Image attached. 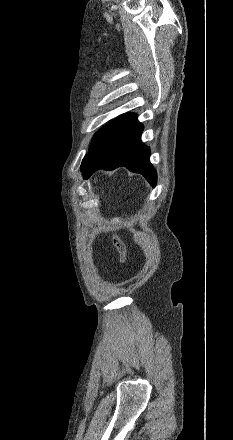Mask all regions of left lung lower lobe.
Masks as SVG:
<instances>
[{"label":"left lung lower lobe","instance_id":"1","mask_svg":"<svg viewBox=\"0 0 233 440\" xmlns=\"http://www.w3.org/2000/svg\"><path fill=\"white\" fill-rule=\"evenodd\" d=\"M143 126L134 113L112 120L82 161L83 176L88 178L98 169L113 170L125 166L142 174L154 187L156 171L150 163V149L141 142Z\"/></svg>","mask_w":233,"mask_h":440}]
</instances>
